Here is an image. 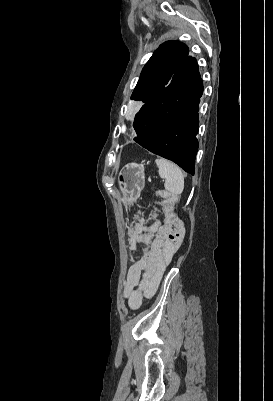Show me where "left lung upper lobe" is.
<instances>
[{
	"mask_svg": "<svg viewBox=\"0 0 273 401\" xmlns=\"http://www.w3.org/2000/svg\"><path fill=\"white\" fill-rule=\"evenodd\" d=\"M188 54V47L179 41L161 44L144 66L131 99L146 103L156 97L169 84Z\"/></svg>",
	"mask_w": 273,
	"mask_h": 401,
	"instance_id": "1",
	"label": "left lung upper lobe"
}]
</instances>
